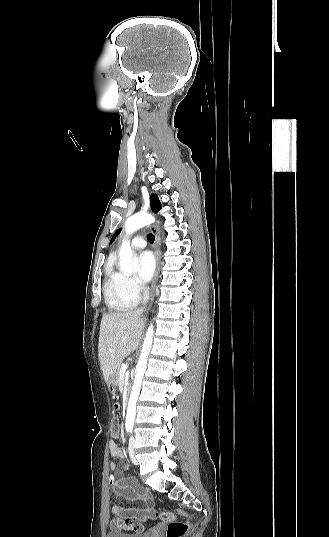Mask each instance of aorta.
<instances>
[{
	"mask_svg": "<svg viewBox=\"0 0 329 537\" xmlns=\"http://www.w3.org/2000/svg\"><path fill=\"white\" fill-rule=\"evenodd\" d=\"M155 219L144 212H139L137 214H134L133 216L129 217L125 223L124 229L126 235H130L133 232L137 231L140 228H143L151 223H153ZM120 269L123 272L132 273L136 269V261L133 259V253L131 250L130 242L128 240H123L122 245L120 247ZM153 335H154V328L153 325L150 324L145 338L142 345V350L140 353V357L138 359L136 369H135V377L134 382L128 402V408L126 413V427H133L135 416H136V403L139 397L142 379L145 374L146 368H147V362H148V356L150 354L152 343H153Z\"/></svg>",
	"mask_w": 329,
	"mask_h": 537,
	"instance_id": "aorta-1",
	"label": "aorta"
}]
</instances>
